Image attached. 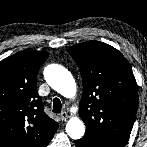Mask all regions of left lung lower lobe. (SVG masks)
I'll return each mask as SVG.
<instances>
[{
    "label": "left lung lower lobe",
    "instance_id": "obj_1",
    "mask_svg": "<svg viewBox=\"0 0 147 147\" xmlns=\"http://www.w3.org/2000/svg\"><path fill=\"white\" fill-rule=\"evenodd\" d=\"M76 147H92V146L89 145L85 140L79 139L76 142Z\"/></svg>",
    "mask_w": 147,
    "mask_h": 147
}]
</instances>
